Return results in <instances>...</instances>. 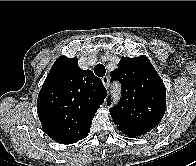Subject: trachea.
<instances>
[{
    "label": "trachea",
    "mask_w": 196,
    "mask_h": 166,
    "mask_svg": "<svg viewBox=\"0 0 196 166\" xmlns=\"http://www.w3.org/2000/svg\"><path fill=\"white\" fill-rule=\"evenodd\" d=\"M94 73L99 77H103L106 73V69H105L104 65L103 64H97L94 67Z\"/></svg>",
    "instance_id": "obj_1"
}]
</instances>
